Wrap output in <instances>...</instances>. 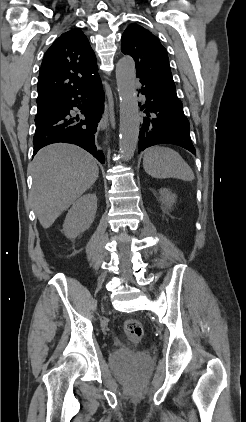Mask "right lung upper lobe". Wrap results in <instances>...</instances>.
Wrapping results in <instances>:
<instances>
[{"instance_id": "cb5924a9", "label": "right lung upper lobe", "mask_w": 246, "mask_h": 422, "mask_svg": "<svg viewBox=\"0 0 246 422\" xmlns=\"http://www.w3.org/2000/svg\"><path fill=\"white\" fill-rule=\"evenodd\" d=\"M96 57L80 29L63 33L44 55L38 78L37 108L74 93L98 76Z\"/></svg>"}]
</instances>
